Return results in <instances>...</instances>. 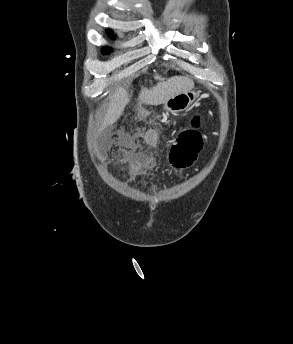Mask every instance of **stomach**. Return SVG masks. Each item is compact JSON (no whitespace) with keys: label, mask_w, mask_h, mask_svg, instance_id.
Returning <instances> with one entry per match:
<instances>
[{"label":"stomach","mask_w":293,"mask_h":344,"mask_svg":"<svg viewBox=\"0 0 293 344\" xmlns=\"http://www.w3.org/2000/svg\"><path fill=\"white\" fill-rule=\"evenodd\" d=\"M197 93L195 91H187L169 98L164 103V109L171 114H178L186 111L196 100Z\"/></svg>","instance_id":"1"}]
</instances>
